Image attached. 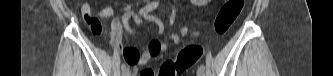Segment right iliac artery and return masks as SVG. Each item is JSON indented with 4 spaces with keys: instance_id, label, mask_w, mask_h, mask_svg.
Instances as JSON below:
<instances>
[{
    "instance_id": "82829eb1",
    "label": "right iliac artery",
    "mask_w": 333,
    "mask_h": 76,
    "mask_svg": "<svg viewBox=\"0 0 333 76\" xmlns=\"http://www.w3.org/2000/svg\"><path fill=\"white\" fill-rule=\"evenodd\" d=\"M157 6H158V2H156V1L150 2V3H148V5H146L144 8H142V9L139 11V14H140V15H143V14H145V13H148V12L154 10ZM121 69H122V71H124V70L127 69L125 63H123V64L121 65Z\"/></svg>"
}]
</instances>
